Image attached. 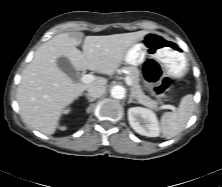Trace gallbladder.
Returning <instances> with one entry per match:
<instances>
[{
  "label": "gallbladder",
  "instance_id": "obj_1",
  "mask_svg": "<svg viewBox=\"0 0 222 187\" xmlns=\"http://www.w3.org/2000/svg\"><path fill=\"white\" fill-rule=\"evenodd\" d=\"M57 65L58 67L66 73L71 79L77 80L78 79V73L72 66L71 62L65 58V57H59L57 59Z\"/></svg>",
  "mask_w": 222,
  "mask_h": 187
}]
</instances>
